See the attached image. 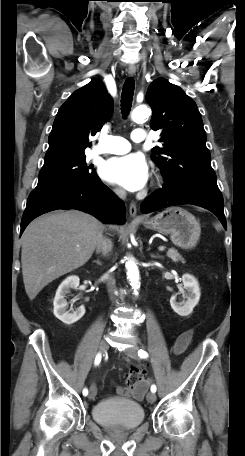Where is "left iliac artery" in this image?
Instances as JSON below:
<instances>
[{
  "mask_svg": "<svg viewBox=\"0 0 245 456\" xmlns=\"http://www.w3.org/2000/svg\"><path fill=\"white\" fill-rule=\"evenodd\" d=\"M138 356H139L140 358H147V357H148V353H147L146 351H144V350L141 349V350L138 351ZM156 389H157V388H156V385L153 384V385L151 386V392H154V393H155V392H156Z\"/></svg>",
  "mask_w": 245,
  "mask_h": 456,
  "instance_id": "obj_1",
  "label": "left iliac artery"
}]
</instances>
